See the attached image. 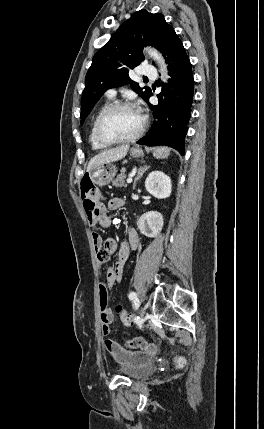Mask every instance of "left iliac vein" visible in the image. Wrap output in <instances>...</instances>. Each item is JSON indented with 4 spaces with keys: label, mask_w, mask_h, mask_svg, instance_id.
<instances>
[{
    "label": "left iliac vein",
    "mask_w": 264,
    "mask_h": 429,
    "mask_svg": "<svg viewBox=\"0 0 264 429\" xmlns=\"http://www.w3.org/2000/svg\"><path fill=\"white\" fill-rule=\"evenodd\" d=\"M141 319L143 318V317H145V312L143 311V310H141V312H140V316H139Z\"/></svg>",
    "instance_id": "left-iliac-vein-1"
}]
</instances>
